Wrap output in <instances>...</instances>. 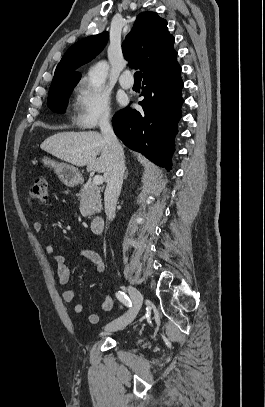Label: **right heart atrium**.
Here are the masks:
<instances>
[{"label":"right heart atrium","instance_id":"1","mask_svg":"<svg viewBox=\"0 0 265 407\" xmlns=\"http://www.w3.org/2000/svg\"><path fill=\"white\" fill-rule=\"evenodd\" d=\"M112 119L107 94L93 87L88 81H81L75 91L74 121L80 128L94 129L108 124Z\"/></svg>","mask_w":265,"mask_h":407}]
</instances>
